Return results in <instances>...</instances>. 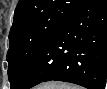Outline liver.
Here are the masks:
<instances>
[{
	"mask_svg": "<svg viewBox=\"0 0 107 89\" xmlns=\"http://www.w3.org/2000/svg\"><path fill=\"white\" fill-rule=\"evenodd\" d=\"M60 83H55V82H52V83H46L44 85H40L38 86L37 89H56L57 85H59Z\"/></svg>",
	"mask_w": 107,
	"mask_h": 89,
	"instance_id": "1",
	"label": "liver"
}]
</instances>
